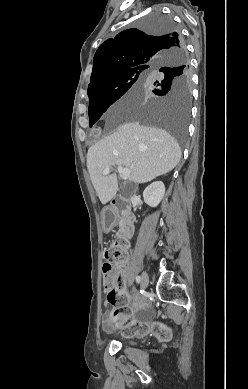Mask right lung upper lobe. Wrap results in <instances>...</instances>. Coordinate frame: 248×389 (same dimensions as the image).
Segmentation results:
<instances>
[{"label": "right lung upper lobe", "instance_id": "right-lung-upper-lobe-1", "mask_svg": "<svg viewBox=\"0 0 248 389\" xmlns=\"http://www.w3.org/2000/svg\"><path fill=\"white\" fill-rule=\"evenodd\" d=\"M180 41L182 38L176 31L155 35L136 28L127 29L114 39L106 40L94 56L88 93L108 84L119 73L134 69H153L181 51L184 44L181 47ZM183 56L186 57V53Z\"/></svg>", "mask_w": 248, "mask_h": 389}]
</instances>
